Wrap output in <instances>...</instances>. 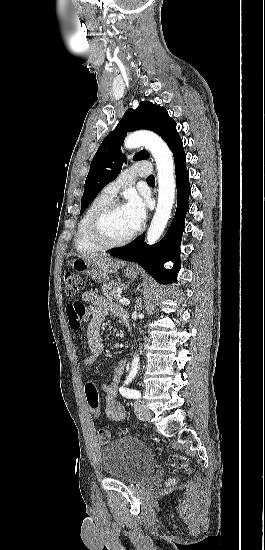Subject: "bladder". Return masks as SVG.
Wrapping results in <instances>:
<instances>
[{"mask_svg":"<svg viewBox=\"0 0 265 550\" xmlns=\"http://www.w3.org/2000/svg\"><path fill=\"white\" fill-rule=\"evenodd\" d=\"M101 460L107 476L132 484L146 480L155 468L154 454L131 436L120 437L104 446Z\"/></svg>","mask_w":265,"mask_h":550,"instance_id":"obj_1","label":"bladder"}]
</instances>
